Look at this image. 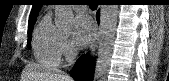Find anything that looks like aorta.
I'll return each mask as SVG.
<instances>
[{"instance_id": "1", "label": "aorta", "mask_w": 169, "mask_h": 81, "mask_svg": "<svg viewBox=\"0 0 169 81\" xmlns=\"http://www.w3.org/2000/svg\"><path fill=\"white\" fill-rule=\"evenodd\" d=\"M101 16V35L94 74L95 81H106L115 39L118 5H103L101 8ZM73 22L74 15L72 9L67 5H56V26L61 30L70 31L73 27Z\"/></svg>"}]
</instances>
